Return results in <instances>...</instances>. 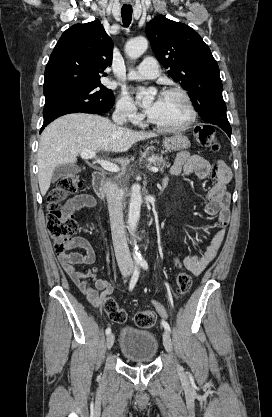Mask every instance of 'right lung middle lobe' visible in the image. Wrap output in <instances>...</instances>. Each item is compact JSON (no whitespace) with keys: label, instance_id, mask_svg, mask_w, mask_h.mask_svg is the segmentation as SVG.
<instances>
[{"label":"right lung middle lobe","instance_id":"dd1d6c3e","mask_svg":"<svg viewBox=\"0 0 272 417\" xmlns=\"http://www.w3.org/2000/svg\"><path fill=\"white\" fill-rule=\"evenodd\" d=\"M44 95V120L72 107H92L107 111L114 104L112 90L101 84L57 87L44 91Z\"/></svg>","mask_w":272,"mask_h":417}]
</instances>
